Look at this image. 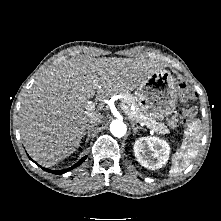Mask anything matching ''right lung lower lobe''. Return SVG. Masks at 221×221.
<instances>
[{"label": "right lung lower lobe", "mask_w": 221, "mask_h": 221, "mask_svg": "<svg viewBox=\"0 0 221 221\" xmlns=\"http://www.w3.org/2000/svg\"><path fill=\"white\" fill-rule=\"evenodd\" d=\"M86 157H87V156L83 157V158H82L81 160H79L75 165H73V166H71V167H69V168H67V169H64V170H58V171H56V170L47 169V168H44V167H41V166H40V167H41L43 170H45L46 172L59 175V174L66 173V172H68V171H70V170L76 168L77 166H79L81 163L84 162V160L86 159ZM29 158H30V157H29ZM30 159H31V158H30ZM31 160H32V159H31ZM35 163H36V162H35ZM38 166H39V165H38Z\"/></svg>", "instance_id": "obj_1"}]
</instances>
